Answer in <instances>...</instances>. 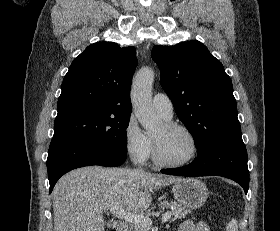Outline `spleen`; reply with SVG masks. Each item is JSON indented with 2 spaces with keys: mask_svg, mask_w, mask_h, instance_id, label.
<instances>
[{
  "mask_svg": "<svg viewBox=\"0 0 280 231\" xmlns=\"http://www.w3.org/2000/svg\"><path fill=\"white\" fill-rule=\"evenodd\" d=\"M226 229H227V231H238V221H237V219H231V221H229Z\"/></svg>",
  "mask_w": 280,
  "mask_h": 231,
  "instance_id": "obj_1",
  "label": "spleen"
}]
</instances>
